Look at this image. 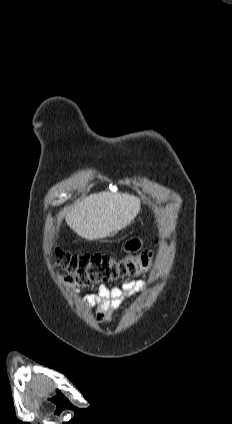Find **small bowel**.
<instances>
[{"instance_id": "small-bowel-1", "label": "small bowel", "mask_w": 232, "mask_h": 424, "mask_svg": "<svg viewBox=\"0 0 232 424\" xmlns=\"http://www.w3.org/2000/svg\"><path fill=\"white\" fill-rule=\"evenodd\" d=\"M144 290L146 285L141 280L126 281L117 286L100 285L95 288V292L83 298V304L86 308H95L96 318L101 322L107 319L114 309L120 307L128 297Z\"/></svg>"}]
</instances>
